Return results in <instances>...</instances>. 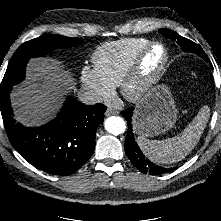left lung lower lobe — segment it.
Segmentation results:
<instances>
[{
    "mask_svg": "<svg viewBox=\"0 0 221 221\" xmlns=\"http://www.w3.org/2000/svg\"><path fill=\"white\" fill-rule=\"evenodd\" d=\"M133 110L134 107H130L121 112L122 116L127 120L128 124V133L124 145L128 158L139 171L145 174L148 173L150 175H161L173 170L155 165L145 158L134 138L131 123Z\"/></svg>",
    "mask_w": 221,
    "mask_h": 221,
    "instance_id": "0a47b994",
    "label": "left lung lower lobe"
}]
</instances>
